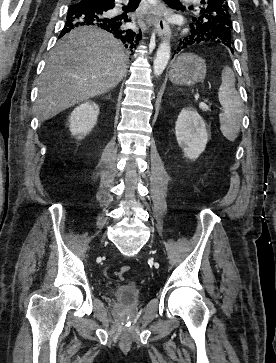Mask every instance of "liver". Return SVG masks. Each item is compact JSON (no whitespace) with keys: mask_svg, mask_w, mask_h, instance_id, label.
<instances>
[{"mask_svg":"<svg viewBox=\"0 0 276 363\" xmlns=\"http://www.w3.org/2000/svg\"><path fill=\"white\" fill-rule=\"evenodd\" d=\"M122 43L96 27H78L52 49L40 78L38 116L60 112L116 87L127 72Z\"/></svg>","mask_w":276,"mask_h":363,"instance_id":"obj_1","label":"liver"}]
</instances>
